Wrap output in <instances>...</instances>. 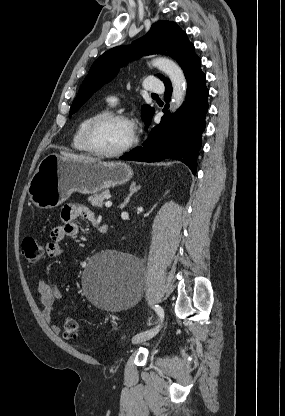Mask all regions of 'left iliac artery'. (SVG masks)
I'll list each match as a JSON object with an SVG mask.
<instances>
[{"label":"left iliac artery","instance_id":"1","mask_svg":"<svg viewBox=\"0 0 285 416\" xmlns=\"http://www.w3.org/2000/svg\"><path fill=\"white\" fill-rule=\"evenodd\" d=\"M154 310L157 312V314L159 315L160 319L162 320L164 318V310L161 306L159 305H155Z\"/></svg>","mask_w":285,"mask_h":416}]
</instances>
